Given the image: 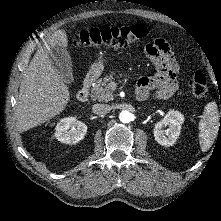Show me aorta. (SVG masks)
I'll list each match as a JSON object with an SVG mask.
<instances>
[{"mask_svg": "<svg viewBox=\"0 0 221 221\" xmlns=\"http://www.w3.org/2000/svg\"><path fill=\"white\" fill-rule=\"evenodd\" d=\"M119 119L123 123H129L133 120V114L129 111H121L119 114Z\"/></svg>", "mask_w": 221, "mask_h": 221, "instance_id": "aorta-1", "label": "aorta"}]
</instances>
